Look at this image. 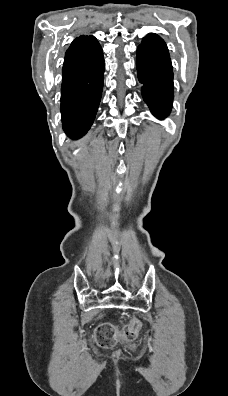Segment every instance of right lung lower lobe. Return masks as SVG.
<instances>
[{
    "mask_svg": "<svg viewBox=\"0 0 228 396\" xmlns=\"http://www.w3.org/2000/svg\"><path fill=\"white\" fill-rule=\"evenodd\" d=\"M62 75L63 129L69 137L78 139L91 127L102 95L104 58L98 41L85 47L75 39L65 54Z\"/></svg>",
    "mask_w": 228,
    "mask_h": 396,
    "instance_id": "obj_1",
    "label": "right lung lower lobe"
}]
</instances>
